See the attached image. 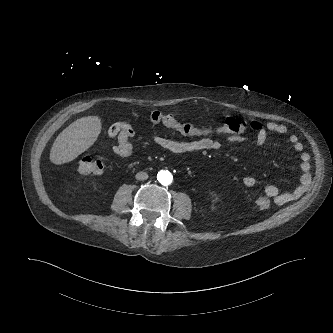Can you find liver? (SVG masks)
<instances>
[{
	"label": "liver",
	"instance_id": "6515ba94",
	"mask_svg": "<svg viewBox=\"0 0 333 333\" xmlns=\"http://www.w3.org/2000/svg\"><path fill=\"white\" fill-rule=\"evenodd\" d=\"M101 129L98 116L77 119L55 139L50 150V161L56 165L73 161L94 144Z\"/></svg>",
	"mask_w": 333,
	"mask_h": 333
}]
</instances>
